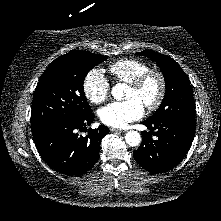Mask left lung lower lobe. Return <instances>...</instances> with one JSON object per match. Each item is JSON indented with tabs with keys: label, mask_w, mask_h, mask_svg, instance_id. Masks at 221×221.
Returning a JSON list of instances; mask_svg holds the SVG:
<instances>
[{
	"label": "left lung lower lobe",
	"mask_w": 221,
	"mask_h": 221,
	"mask_svg": "<svg viewBox=\"0 0 221 221\" xmlns=\"http://www.w3.org/2000/svg\"><path fill=\"white\" fill-rule=\"evenodd\" d=\"M142 124L150 132H143L142 143L133 152L136 162L154 174L174 168L191 147L195 125L173 119L145 120ZM152 135L157 138L153 139Z\"/></svg>",
	"instance_id": "1"
}]
</instances>
